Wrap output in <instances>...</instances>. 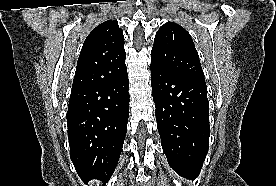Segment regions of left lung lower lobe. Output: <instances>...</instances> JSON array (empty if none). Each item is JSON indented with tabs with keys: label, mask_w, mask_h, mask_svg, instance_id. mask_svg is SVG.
Here are the masks:
<instances>
[{
	"label": "left lung lower lobe",
	"mask_w": 276,
	"mask_h": 186,
	"mask_svg": "<svg viewBox=\"0 0 276 186\" xmlns=\"http://www.w3.org/2000/svg\"><path fill=\"white\" fill-rule=\"evenodd\" d=\"M157 128L168 163L194 180L208 153L209 101L205 82L151 64Z\"/></svg>",
	"instance_id": "left-lung-lower-lobe-1"
}]
</instances>
